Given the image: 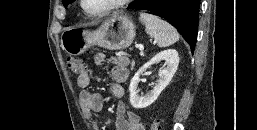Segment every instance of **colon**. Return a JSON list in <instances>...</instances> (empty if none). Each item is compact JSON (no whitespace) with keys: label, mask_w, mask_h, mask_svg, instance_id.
Returning <instances> with one entry per match:
<instances>
[{"label":"colon","mask_w":257,"mask_h":130,"mask_svg":"<svg viewBox=\"0 0 257 130\" xmlns=\"http://www.w3.org/2000/svg\"><path fill=\"white\" fill-rule=\"evenodd\" d=\"M67 66L71 71H73L75 74H81L86 70V66L82 59L75 56H69L67 58ZM150 130H162V126L158 120H154L151 123Z\"/></svg>","instance_id":"obj_1"}]
</instances>
